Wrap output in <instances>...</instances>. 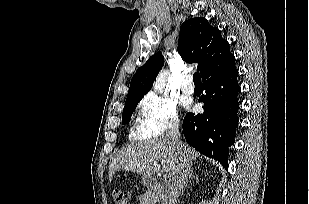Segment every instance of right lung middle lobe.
Listing matches in <instances>:
<instances>
[{
  "label": "right lung middle lobe",
  "mask_w": 309,
  "mask_h": 204,
  "mask_svg": "<svg viewBox=\"0 0 309 204\" xmlns=\"http://www.w3.org/2000/svg\"><path fill=\"white\" fill-rule=\"evenodd\" d=\"M140 100L141 99H131L126 101L122 115V124H127L130 121L131 115Z\"/></svg>",
  "instance_id": "1"
}]
</instances>
